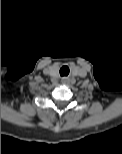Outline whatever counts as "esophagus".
<instances>
[{
  "label": "esophagus",
  "instance_id": "esophagus-1",
  "mask_svg": "<svg viewBox=\"0 0 122 154\" xmlns=\"http://www.w3.org/2000/svg\"><path fill=\"white\" fill-rule=\"evenodd\" d=\"M61 82H62L63 84H68V83H69V78H68V77H63V78L61 79Z\"/></svg>",
  "mask_w": 122,
  "mask_h": 154
}]
</instances>
